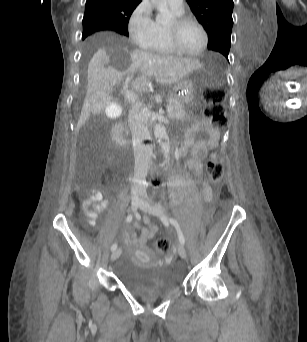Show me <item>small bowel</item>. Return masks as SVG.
Segmentation results:
<instances>
[{"label": "small bowel", "instance_id": "obj_1", "mask_svg": "<svg viewBox=\"0 0 307 342\" xmlns=\"http://www.w3.org/2000/svg\"><path fill=\"white\" fill-rule=\"evenodd\" d=\"M200 133H205L206 138H200L196 140V137ZM220 132L218 129L212 127L206 120H197L193 123L189 131L187 132L182 152L190 151V158L187 161V165L192 169L196 175L200 176L202 173V159H204L208 152L214 149L219 142ZM211 160H217L218 156L215 153H211ZM204 199L210 201L212 198L211 190L208 183L204 180L200 181ZM108 206V201L103 199L102 194L97 190L90 191L89 197L82 203V208L85 211L91 224H94V220L103 212ZM147 227H140L138 223L134 224L135 228L140 229V235L137 236L131 232V228H128L124 236L129 238L130 246L142 250L145 248L148 240L152 239L157 231V226L152 223L148 218L144 219Z\"/></svg>", "mask_w": 307, "mask_h": 342}]
</instances>
